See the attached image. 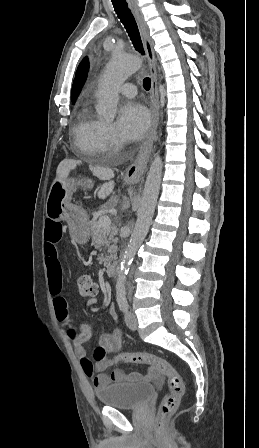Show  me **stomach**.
<instances>
[{
  "label": "stomach",
  "mask_w": 259,
  "mask_h": 448,
  "mask_svg": "<svg viewBox=\"0 0 259 448\" xmlns=\"http://www.w3.org/2000/svg\"><path fill=\"white\" fill-rule=\"evenodd\" d=\"M73 186L72 180H53L46 202V216L50 220L68 221L71 238L77 244H86L91 236L88 212L84 206H65L71 200Z\"/></svg>",
  "instance_id": "1"
}]
</instances>
